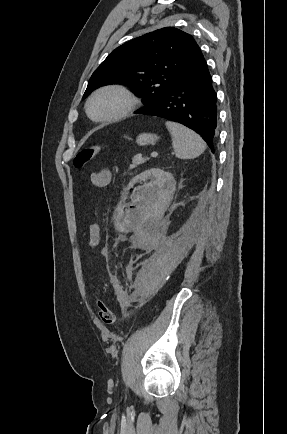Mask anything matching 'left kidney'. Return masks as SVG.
<instances>
[{"instance_id": "5707ae66", "label": "left kidney", "mask_w": 287, "mask_h": 434, "mask_svg": "<svg viewBox=\"0 0 287 434\" xmlns=\"http://www.w3.org/2000/svg\"><path fill=\"white\" fill-rule=\"evenodd\" d=\"M143 186L135 188L131 199L137 208L132 213L133 216L125 218V223H136L148 218L154 210L165 209L171 202L176 190V182L171 173L159 168L149 169L137 175L129 186L135 182L146 181ZM123 212V207H121Z\"/></svg>"}]
</instances>
